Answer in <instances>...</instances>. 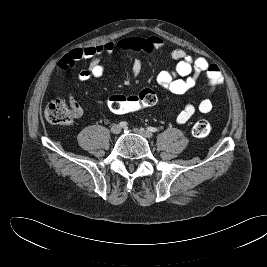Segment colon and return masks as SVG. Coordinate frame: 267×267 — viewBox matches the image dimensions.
<instances>
[{
	"instance_id": "obj_1",
	"label": "colon",
	"mask_w": 267,
	"mask_h": 267,
	"mask_svg": "<svg viewBox=\"0 0 267 267\" xmlns=\"http://www.w3.org/2000/svg\"><path fill=\"white\" fill-rule=\"evenodd\" d=\"M157 102L156 93L149 88L142 89L135 95L115 94L107 99L109 109L116 114H129L153 106ZM44 115L46 120L53 125H69L73 122L75 112L62 100H54L47 104ZM211 125L208 120H198L192 128V133L197 138L210 134Z\"/></svg>"
}]
</instances>
